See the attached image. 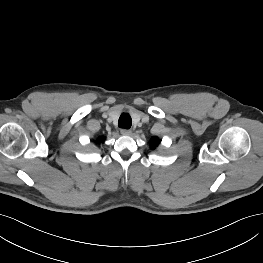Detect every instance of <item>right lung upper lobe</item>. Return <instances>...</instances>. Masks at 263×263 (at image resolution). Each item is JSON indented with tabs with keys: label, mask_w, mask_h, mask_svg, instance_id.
I'll list each match as a JSON object with an SVG mask.
<instances>
[{
	"label": "right lung upper lobe",
	"mask_w": 263,
	"mask_h": 263,
	"mask_svg": "<svg viewBox=\"0 0 263 263\" xmlns=\"http://www.w3.org/2000/svg\"><path fill=\"white\" fill-rule=\"evenodd\" d=\"M103 140H104V138L100 137V138L98 139V142H102Z\"/></svg>",
	"instance_id": "obj_1"
}]
</instances>
